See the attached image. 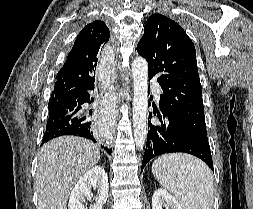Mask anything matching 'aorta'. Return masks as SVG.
<instances>
[{
	"instance_id": "obj_1",
	"label": "aorta",
	"mask_w": 253,
	"mask_h": 209,
	"mask_svg": "<svg viewBox=\"0 0 253 209\" xmlns=\"http://www.w3.org/2000/svg\"><path fill=\"white\" fill-rule=\"evenodd\" d=\"M134 79L133 128L134 141L138 150H143L147 137L148 107V64L138 57L132 63Z\"/></svg>"
}]
</instances>
